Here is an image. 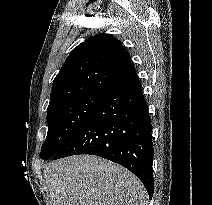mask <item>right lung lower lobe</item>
<instances>
[{
  "mask_svg": "<svg viewBox=\"0 0 212 205\" xmlns=\"http://www.w3.org/2000/svg\"><path fill=\"white\" fill-rule=\"evenodd\" d=\"M151 131L148 106L136 70L132 68L102 92L91 115L53 159L92 154L111 160L134 173L152 198Z\"/></svg>",
  "mask_w": 212,
  "mask_h": 205,
  "instance_id": "98d812e1",
  "label": "right lung lower lobe"
}]
</instances>
